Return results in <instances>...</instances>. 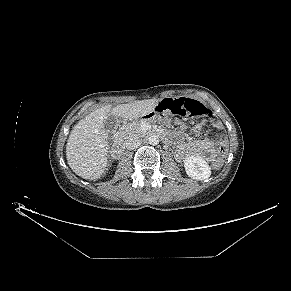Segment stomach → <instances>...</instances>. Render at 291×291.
Here are the masks:
<instances>
[{
  "mask_svg": "<svg viewBox=\"0 0 291 291\" xmlns=\"http://www.w3.org/2000/svg\"><path fill=\"white\" fill-rule=\"evenodd\" d=\"M144 118H147V120H149V121H163L166 119L164 114L160 115L155 111H152V112L146 114Z\"/></svg>",
  "mask_w": 291,
  "mask_h": 291,
  "instance_id": "0dacf381",
  "label": "stomach"
}]
</instances>
